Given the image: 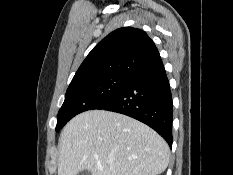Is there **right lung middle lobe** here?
<instances>
[{"instance_id": "dd1d6c3e", "label": "right lung middle lobe", "mask_w": 233, "mask_h": 175, "mask_svg": "<svg viewBox=\"0 0 233 175\" xmlns=\"http://www.w3.org/2000/svg\"><path fill=\"white\" fill-rule=\"evenodd\" d=\"M131 78L124 74H106L70 83L58 112L56 131L77 114L96 109L113 98Z\"/></svg>"}]
</instances>
